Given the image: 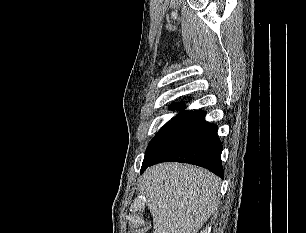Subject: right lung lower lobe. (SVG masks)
<instances>
[{
	"label": "right lung lower lobe",
	"mask_w": 306,
	"mask_h": 233,
	"mask_svg": "<svg viewBox=\"0 0 306 233\" xmlns=\"http://www.w3.org/2000/svg\"><path fill=\"white\" fill-rule=\"evenodd\" d=\"M206 112L194 120L156 157L142 164L141 173L160 162H183L204 167L224 178L221 162L222 143L217 137V125L205 121Z\"/></svg>",
	"instance_id": "1"
}]
</instances>
